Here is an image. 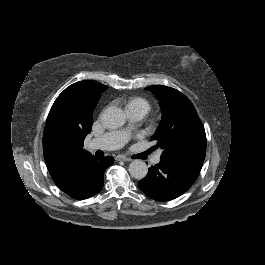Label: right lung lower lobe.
<instances>
[{"label": "right lung lower lobe", "mask_w": 265, "mask_h": 265, "mask_svg": "<svg viewBox=\"0 0 265 265\" xmlns=\"http://www.w3.org/2000/svg\"><path fill=\"white\" fill-rule=\"evenodd\" d=\"M113 157L93 159L87 163L83 172L74 178L68 185L60 187L71 198L82 200L98 193L104 184L105 169L112 165Z\"/></svg>", "instance_id": "obj_1"}]
</instances>
